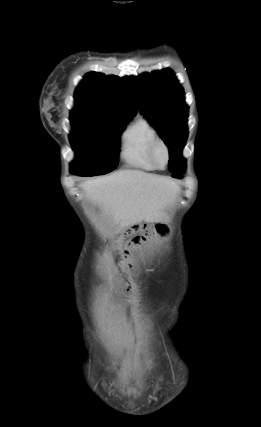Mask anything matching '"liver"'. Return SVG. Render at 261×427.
<instances>
[{"label": "liver", "mask_w": 261, "mask_h": 427, "mask_svg": "<svg viewBox=\"0 0 261 427\" xmlns=\"http://www.w3.org/2000/svg\"><path fill=\"white\" fill-rule=\"evenodd\" d=\"M86 197L102 207L121 228L157 222L174 202L180 187L171 179L139 170H120L81 184Z\"/></svg>", "instance_id": "obj_1"}]
</instances>
